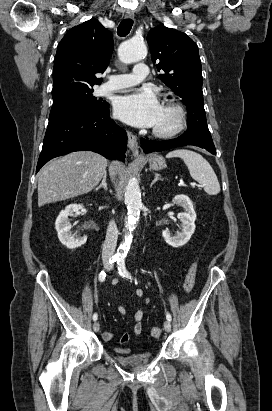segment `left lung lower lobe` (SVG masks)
Returning a JSON list of instances; mask_svg holds the SVG:
<instances>
[{"label":"left lung lower lobe","instance_id":"left-lung-lower-lobe-1","mask_svg":"<svg viewBox=\"0 0 272 411\" xmlns=\"http://www.w3.org/2000/svg\"><path fill=\"white\" fill-rule=\"evenodd\" d=\"M142 149L145 153L160 152L179 146L194 145L216 154V149L208 127L198 126L188 128L180 137L167 141H150L141 139Z\"/></svg>","mask_w":272,"mask_h":411}]
</instances>
